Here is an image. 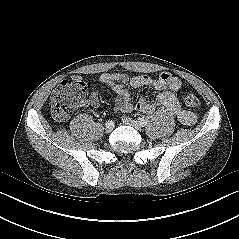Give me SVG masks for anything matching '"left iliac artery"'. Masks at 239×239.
Wrapping results in <instances>:
<instances>
[{"mask_svg": "<svg viewBox=\"0 0 239 239\" xmlns=\"http://www.w3.org/2000/svg\"><path fill=\"white\" fill-rule=\"evenodd\" d=\"M137 122H138L139 125L142 126V127H144V126L147 125V120L144 119V118H140V117H139V118L137 119Z\"/></svg>", "mask_w": 239, "mask_h": 239, "instance_id": "left-iliac-artery-1", "label": "left iliac artery"}]
</instances>
